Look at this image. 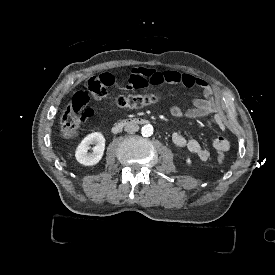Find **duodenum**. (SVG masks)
Wrapping results in <instances>:
<instances>
[{
    "label": "duodenum",
    "instance_id": "1",
    "mask_svg": "<svg viewBox=\"0 0 275 275\" xmlns=\"http://www.w3.org/2000/svg\"><path fill=\"white\" fill-rule=\"evenodd\" d=\"M148 123V119L144 117H129L120 120L116 124L113 125L112 131L117 132L121 128L125 126H130V125H145Z\"/></svg>",
    "mask_w": 275,
    "mask_h": 275
}]
</instances>
